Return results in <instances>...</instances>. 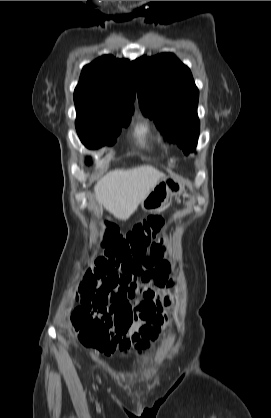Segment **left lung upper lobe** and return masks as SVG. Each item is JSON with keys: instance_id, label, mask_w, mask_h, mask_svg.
I'll use <instances>...</instances> for the list:
<instances>
[{"instance_id": "left-lung-upper-lobe-1", "label": "left lung upper lobe", "mask_w": 271, "mask_h": 418, "mask_svg": "<svg viewBox=\"0 0 271 418\" xmlns=\"http://www.w3.org/2000/svg\"><path fill=\"white\" fill-rule=\"evenodd\" d=\"M140 108L170 141L188 155L199 136V91L187 66L174 54L132 62Z\"/></svg>"}]
</instances>
